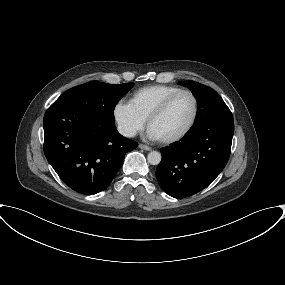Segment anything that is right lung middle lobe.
I'll return each mask as SVG.
<instances>
[{"label": "right lung middle lobe", "mask_w": 285, "mask_h": 285, "mask_svg": "<svg viewBox=\"0 0 285 285\" xmlns=\"http://www.w3.org/2000/svg\"><path fill=\"white\" fill-rule=\"evenodd\" d=\"M134 83L107 84L91 81L64 92L55 102L65 103L114 124V108Z\"/></svg>", "instance_id": "right-lung-middle-lobe-1"}]
</instances>
